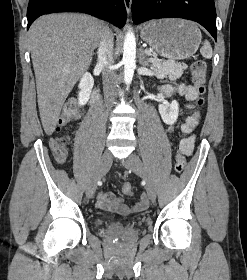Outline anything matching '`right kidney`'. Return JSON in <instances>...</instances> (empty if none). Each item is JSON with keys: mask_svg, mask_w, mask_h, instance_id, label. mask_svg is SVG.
Returning a JSON list of instances; mask_svg holds the SVG:
<instances>
[{"mask_svg": "<svg viewBox=\"0 0 247 280\" xmlns=\"http://www.w3.org/2000/svg\"><path fill=\"white\" fill-rule=\"evenodd\" d=\"M93 85H94L93 78L88 72H86L82 76L78 86L80 89V92L78 94V100L81 106H84L88 102Z\"/></svg>", "mask_w": 247, "mask_h": 280, "instance_id": "1", "label": "right kidney"}]
</instances>
